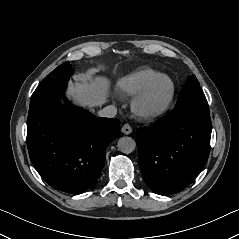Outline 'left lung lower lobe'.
<instances>
[{
  "mask_svg": "<svg viewBox=\"0 0 239 239\" xmlns=\"http://www.w3.org/2000/svg\"><path fill=\"white\" fill-rule=\"evenodd\" d=\"M211 130L208 103L188 102L137 133L140 170L153 192L171 195L193 182L207 162Z\"/></svg>",
  "mask_w": 239,
  "mask_h": 239,
  "instance_id": "obj_1",
  "label": "left lung lower lobe"
}]
</instances>
